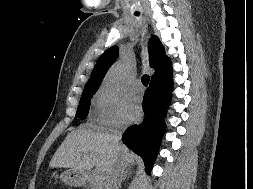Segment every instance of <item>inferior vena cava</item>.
Instances as JSON below:
<instances>
[{
  "instance_id": "obj_1",
  "label": "inferior vena cava",
  "mask_w": 253,
  "mask_h": 189,
  "mask_svg": "<svg viewBox=\"0 0 253 189\" xmlns=\"http://www.w3.org/2000/svg\"><path fill=\"white\" fill-rule=\"evenodd\" d=\"M123 127L113 132L112 138L114 144H118L121 140ZM130 151L128 149H120L116 154V162L110 172L105 176L103 180L102 189H119L121 181L125 178L127 171L128 160Z\"/></svg>"
}]
</instances>
